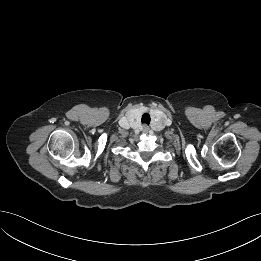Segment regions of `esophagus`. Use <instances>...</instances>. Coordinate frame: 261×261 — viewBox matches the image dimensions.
Here are the masks:
<instances>
[{
    "instance_id": "1",
    "label": "esophagus",
    "mask_w": 261,
    "mask_h": 261,
    "mask_svg": "<svg viewBox=\"0 0 261 261\" xmlns=\"http://www.w3.org/2000/svg\"><path fill=\"white\" fill-rule=\"evenodd\" d=\"M142 132L144 134H147L149 132V127L147 125H144L143 128H142Z\"/></svg>"
}]
</instances>
